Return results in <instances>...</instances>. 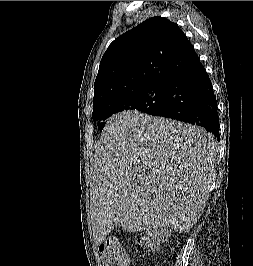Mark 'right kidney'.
I'll return each instance as SVG.
<instances>
[{
	"label": "right kidney",
	"mask_w": 253,
	"mask_h": 266,
	"mask_svg": "<svg viewBox=\"0 0 253 266\" xmlns=\"http://www.w3.org/2000/svg\"><path fill=\"white\" fill-rule=\"evenodd\" d=\"M171 231L172 229L169 227L148 229L144 233L141 245L146 249L158 250L160 248V242L164 243L168 241Z\"/></svg>",
	"instance_id": "ca27d5eb"
}]
</instances>
